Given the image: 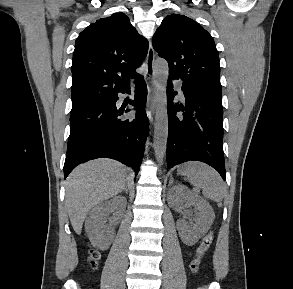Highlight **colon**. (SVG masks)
<instances>
[{
  "instance_id": "1",
  "label": "colon",
  "mask_w": 293,
  "mask_h": 289,
  "mask_svg": "<svg viewBox=\"0 0 293 289\" xmlns=\"http://www.w3.org/2000/svg\"><path fill=\"white\" fill-rule=\"evenodd\" d=\"M213 238H214V234L212 231H210L201 240V243H200L199 247L197 248L196 255L190 263V268L192 271H194V272L198 271L202 256L209 249L210 245L213 242ZM98 259H99L98 251L91 249L88 253L89 264L92 267H96Z\"/></svg>"
}]
</instances>
